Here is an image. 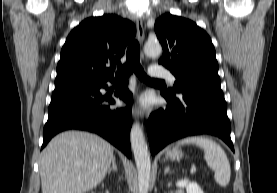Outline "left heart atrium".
Instances as JSON below:
<instances>
[{
  "mask_svg": "<svg viewBox=\"0 0 277 193\" xmlns=\"http://www.w3.org/2000/svg\"><path fill=\"white\" fill-rule=\"evenodd\" d=\"M140 105H142L143 107L147 106L149 101L147 97H142L139 101Z\"/></svg>",
  "mask_w": 277,
  "mask_h": 193,
  "instance_id": "39dd6f15",
  "label": "left heart atrium"
}]
</instances>
